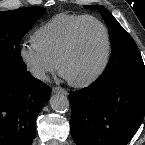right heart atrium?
<instances>
[{
	"label": "right heart atrium",
	"instance_id": "right-heart-atrium-1",
	"mask_svg": "<svg viewBox=\"0 0 145 145\" xmlns=\"http://www.w3.org/2000/svg\"><path fill=\"white\" fill-rule=\"evenodd\" d=\"M19 57L30 75L40 81L46 80L56 68L55 62L33 43L23 44L19 49Z\"/></svg>",
	"mask_w": 145,
	"mask_h": 145
}]
</instances>
